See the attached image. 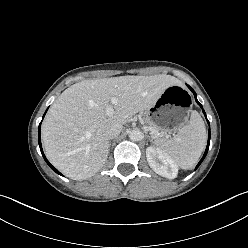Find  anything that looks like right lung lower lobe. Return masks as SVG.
<instances>
[{
    "label": "right lung lower lobe",
    "instance_id": "98d812e1",
    "mask_svg": "<svg viewBox=\"0 0 248 248\" xmlns=\"http://www.w3.org/2000/svg\"><path fill=\"white\" fill-rule=\"evenodd\" d=\"M40 131H41V123L39 125V146H40V150H41V153L43 155V158L45 159L46 163L52 168V170H54L56 173L61 175V173L49 163V161L46 159V157H45V155L43 153L42 145H41V138H40Z\"/></svg>",
    "mask_w": 248,
    "mask_h": 248
}]
</instances>
